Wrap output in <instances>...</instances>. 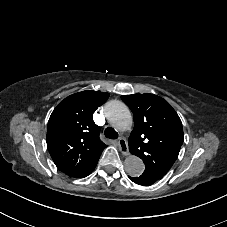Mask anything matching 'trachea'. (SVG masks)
Returning a JSON list of instances; mask_svg holds the SVG:
<instances>
[{"instance_id":"obj_1","label":"trachea","mask_w":227,"mask_h":227,"mask_svg":"<svg viewBox=\"0 0 227 227\" xmlns=\"http://www.w3.org/2000/svg\"><path fill=\"white\" fill-rule=\"evenodd\" d=\"M104 134L108 139L114 140L118 138V133L113 128H110V127L104 130Z\"/></svg>"}]
</instances>
